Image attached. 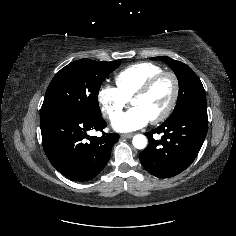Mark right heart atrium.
I'll list each match as a JSON object with an SVG mask.
<instances>
[{
    "label": "right heart atrium",
    "mask_w": 236,
    "mask_h": 236,
    "mask_svg": "<svg viewBox=\"0 0 236 236\" xmlns=\"http://www.w3.org/2000/svg\"><path fill=\"white\" fill-rule=\"evenodd\" d=\"M97 101L103 115L112 119L125 107L128 100L117 88L103 84L97 92Z\"/></svg>",
    "instance_id": "d8ad5b80"
}]
</instances>
